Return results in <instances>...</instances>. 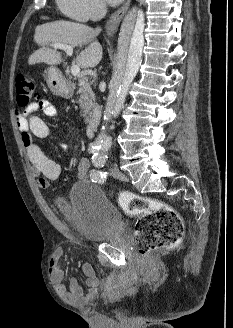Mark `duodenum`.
I'll return each mask as SVG.
<instances>
[{
  "label": "duodenum",
  "mask_w": 233,
  "mask_h": 328,
  "mask_svg": "<svg viewBox=\"0 0 233 328\" xmlns=\"http://www.w3.org/2000/svg\"><path fill=\"white\" fill-rule=\"evenodd\" d=\"M97 126V116L96 114L94 113L90 120H89V123H88V130L91 134H93V132L95 131V128Z\"/></svg>",
  "instance_id": "410a0bca"
}]
</instances>
